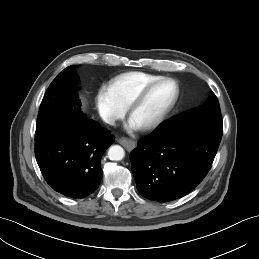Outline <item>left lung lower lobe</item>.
I'll list each match as a JSON object with an SVG mask.
<instances>
[{
	"instance_id": "left-lung-lower-lobe-1",
	"label": "left lung lower lobe",
	"mask_w": 259,
	"mask_h": 259,
	"mask_svg": "<svg viewBox=\"0 0 259 259\" xmlns=\"http://www.w3.org/2000/svg\"><path fill=\"white\" fill-rule=\"evenodd\" d=\"M223 122L191 118L142 138L130 154L138 192L168 202L191 192L210 170Z\"/></svg>"
}]
</instances>
